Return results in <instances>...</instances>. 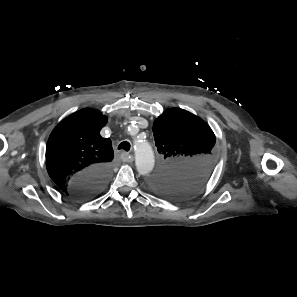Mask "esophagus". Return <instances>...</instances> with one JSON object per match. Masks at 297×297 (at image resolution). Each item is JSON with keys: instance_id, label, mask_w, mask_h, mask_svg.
<instances>
[{"instance_id": "34e87169", "label": "esophagus", "mask_w": 297, "mask_h": 297, "mask_svg": "<svg viewBox=\"0 0 297 297\" xmlns=\"http://www.w3.org/2000/svg\"><path fill=\"white\" fill-rule=\"evenodd\" d=\"M120 157H121V160L123 162H128L129 163V162L133 161V156L128 154L127 152H122Z\"/></svg>"}]
</instances>
